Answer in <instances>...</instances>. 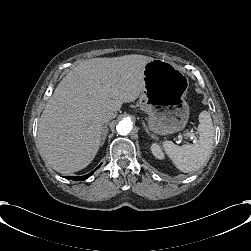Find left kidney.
I'll return each mask as SVG.
<instances>
[{
  "label": "left kidney",
  "mask_w": 251,
  "mask_h": 251,
  "mask_svg": "<svg viewBox=\"0 0 251 251\" xmlns=\"http://www.w3.org/2000/svg\"><path fill=\"white\" fill-rule=\"evenodd\" d=\"M151 152L159 160H162L165 157L160 145L157 143H153L151 145Z\"/></svg>",
  "instance_id": "left-kidney-1"
}]
</instances>
